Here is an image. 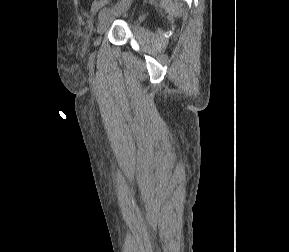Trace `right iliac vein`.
I'll list each match as a JSON object with an SVG mask.
<instances>
[{"label": "right iliac vein", "mask_w": 289, "mask_h": 252, "mask_svg": "<svg viewBox=\"0 0 289 252\" xmlns=\"http://www.w3.org/2000/svg\"><path fill=\"white\" fill-rule=\"evenodd\" d=\"M132 0H121L110 12L100 19L97 26V34L101 36L109 27L112 20L124 13L131 5Z\"/></svg>", "instance_id": "obj_1"}]
</instances>
